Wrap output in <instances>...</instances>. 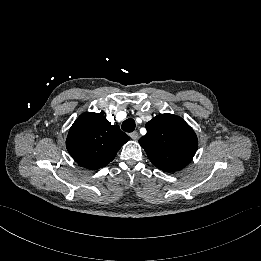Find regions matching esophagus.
I'll use <instances>...</instances> for the list:
<instances>
[{
	"label": "esophagus",
	"mask_w": 261,
	"mask_h": 261,
	"mask_svg": "<svg viewBox=\"0 0 261 261\" xmlns=\"http://www.w3.org/2000/svg\"><path fill=\"white\" fill-rule=\"evenodd\" d=\"M130 137L133 140H137L139 138V134H138V132L134 131V132L130 133Z\"/></svg>",
	"instance_id": "1"
}]
</instances>
